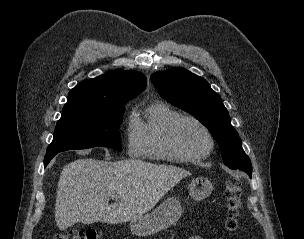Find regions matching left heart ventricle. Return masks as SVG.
Here are the masks:
<instances>
[{
	"mask_svg": "<svg viewBox=\"0 0 304 239\" xmlns=\"http://www.w3.org/2000/svg\"><path fill=\"white\" fill-rule=\"evenodd\" d=\"M177 141L180 147L189 154H201L209 146L205 132L190 121L182 123L178 128Z\"/></svg>",
	"mask_w": 304,
	"mask_h": 239,
	"instance_id": "left-heart-ventricle-1",
	"label": "left heart ventricle"
}]
</instances>
